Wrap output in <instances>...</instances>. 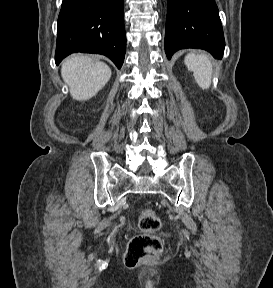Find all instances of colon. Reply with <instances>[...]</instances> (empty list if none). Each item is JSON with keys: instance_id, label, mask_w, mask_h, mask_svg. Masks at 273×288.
Here are the masks:
<instances>
[{"instance_id": "obj_1", "label": "colon", "mask_w": 273, "mask_h": 288, "mask_svg": "<svg viewBox=\"0 0 273 288\" xmlns=\"http://www.w3.org/2000/svg\"><path fill=\"white\" fill-rule=\"evenodd\" d=\"M161 226L160 219L150 208H143L139 214L138 228L142 233L133 236L124 254L127 267H135L142 259L158 257L163 250L162 240L154 234Z\"/></svg>"}]
</instances>
